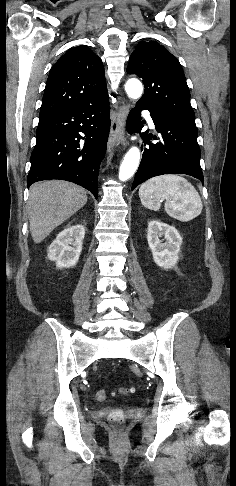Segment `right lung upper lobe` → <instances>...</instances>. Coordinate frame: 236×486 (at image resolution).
I'll use <instances>...</instances> for the list:
<instances>
[{"label": "right lung upper lobe", "instance_id": "1", "mask_svg": "<svg viewBox=\"0 0 236 486\" xmlns=\"http://www.w3.org/2000/svg\"><path fill=\"white\" fill-rule=\"evenodd\" d=\"M108 99L101 59L87 46L70 49L52 67L40 116Z\"/></svg>", "mask_w": 236, "mask_h": 486}]
</instances>
